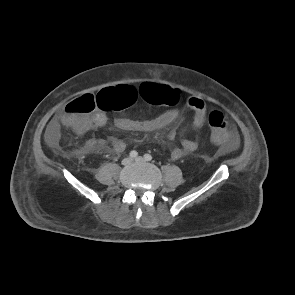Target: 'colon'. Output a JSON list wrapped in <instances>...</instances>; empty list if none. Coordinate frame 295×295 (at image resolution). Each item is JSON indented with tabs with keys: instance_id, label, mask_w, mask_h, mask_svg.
Masks as SVG:
<instances>
[{
	"instance_id": "obj_1",
	"label": "colon",
	"mask_w": 295,
	"mask_h": 295,
	"mask_svg": "<svg viewBox=\"0 0 295 295\" xmlns=\"http://www.w3.org/2000/svg\"><path fill=\"white\" fill-rule=\"evenodd\" d=\"M139 94L150 104L177 105L182 94L167 86L146 83L140 87ZM138 91L129 85L108 87L97 95H84L69 102L64 109L61 122L69 128L76 129L95 108L103 111H118L130 106L137 98ZM211 128V140L215 144H231L235 132L220 111H212L208 117Z\"/></svg>"
}]
</instances>
